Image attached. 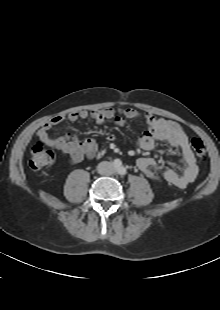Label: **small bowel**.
<instances>
[{
    "label": "small bowel",
    "instance_id": "c3829d8e",
    "mask_svg": "<svg viewBox=\"0 0 220 310\" xmlns=\"http://www.w3.org/2000/svg\"><path fill=\"white\" fill-rule=\"evenodd\" d=\"M88 117L98 124L112 122L116 125H124L128 120L143 117L148 129L140 135L139 147L151 150L155 142H166L179 151L180 162L177 166L162 167L154 158L142 157L137 160L139 170L150 179L163 178L177 188H185L197 178L199 172L197 161L184 129L177 122L156 117L151 112L141 113L131 107L97 109L90 113L87 111L70 112L54 116L45 122L37 131V137L49 147L68 156L71 164H77L84 159H92L98 153V144L94 139L80 140L73 134L60 137L50 135V130L62 122H75ZM108 140L114 141L115 136L108 135Z\"/></svg>",
    "mask_w": 220,
    "mask_h": 310
}]
</instances>
